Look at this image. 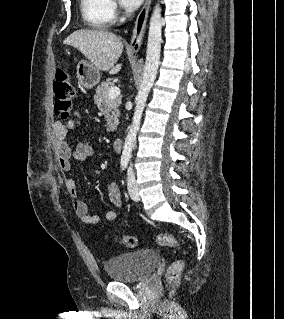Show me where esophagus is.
<instances>
[{
  "mask_svg": "<svg viewBox=\"0 0 284 319\" xmlns=\"http://www.w3.org/2000/svg\"><path fill=\"white\" fill-rule=\"evenodd\" d=\"M152 0H146L144 6L142 7L141 11L139 12L135 25L132 32V37L128 49L130 51L137 52L141 47L142 38L146 28V22L148 18L149 8L151 5Z\"/></svg>",
  "mask_w": 284,
  "mask_h": 319,
  "instance_id": "obj_1",
  "label": "esophagus"
}]
</instances>
